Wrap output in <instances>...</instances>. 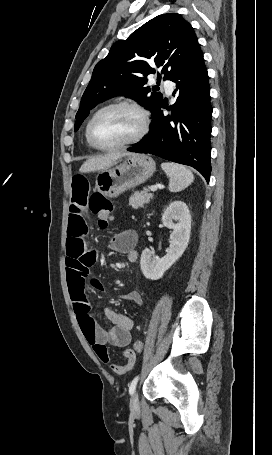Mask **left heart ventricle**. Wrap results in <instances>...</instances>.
<instances>
[{"mask_svg": "<svg viewBox=\"0 0 272 455\" xmlns=\"http://www.w3.org/2000/svg\"><path fill=\"white\" fill-rule=\"evenodd\" d=\"M141 127L136 111L115 107L101 113L93 125V137L102 146H113L133 138Z\"/></svg>", "mask_w": 272, "mask_h": 455, "instance_id": "left-heart-ventricle-1", "label": "left heart ventricle"}]
</instances>
